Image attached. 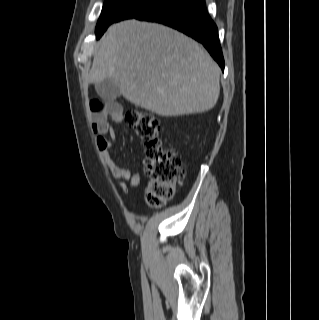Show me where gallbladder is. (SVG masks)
<instances>
[{
    "label": "gallbladder",
    "instance_id": "bac80fb5",
    "mask_svg": "<svg viewBox=\"0 0 319 320\" xmlns=\"http://www.w3.org/2000/svg\"><path fill=\"white\" fill-rule=\"evenodd\" d=\"M95 89L98 95L106 101L114 100L121 95L118 85L111 79H105L102 82L97 83Z\"/></svg>",
    "mask_w": 319,
    "mask_h": 320
}]
</instances>
